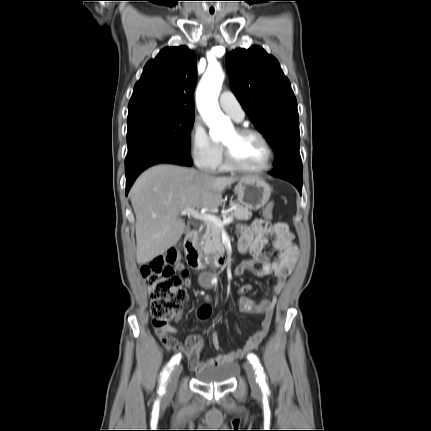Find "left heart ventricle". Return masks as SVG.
I'll return each mask as SVG.
<instances>
[{"label": "left heart ventricle", "instance_id": "obj_1", "mask_svg": "<svg viewBox=\"0 0 431 431\" xmlns=\"http://www.w3.org/2000/svg\"><path fill=\"white\" fill-rule=\"evenodd\" d=\"M234 159L242 166L258 168L267 161V151L260 139L254 135H239L235 129L222 140Z\"/></svg>", "mask_w": 431, "mask_h": 431}]
</instances>
